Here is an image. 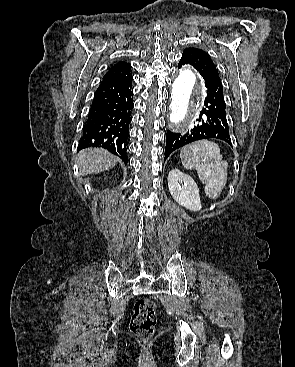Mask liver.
<instances>
[{"label":"liver","instance_id":"6515ba94","mask_svg":"<svg viewBox=\"0 0 295 367\" xmlns=\"http://www.w3.org/2000/svg\"><path fill=\"white\" fill-rule=\"evenodd\" d=\"M118 159L102 148H87L78 154L80 175L101 173L113 168Z\"/></svg>","mask_w":295,"mask_h":367}]
</instances>
